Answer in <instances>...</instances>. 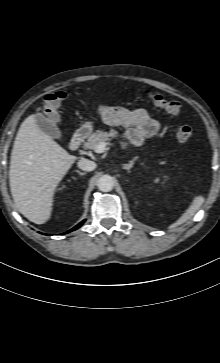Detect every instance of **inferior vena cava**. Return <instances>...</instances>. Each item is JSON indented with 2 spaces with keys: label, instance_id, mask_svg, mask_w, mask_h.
Segmentation results:
<instances>
[{
  "label": "inferior vena cava",
  "instance_id": "602c4592",
  "mask_svg": "<svg viewBox=\"0 0 220 363\" xmlns=\"http://www.w3.org/2000/svg\"><path fill=\"white\" fill-rule=\"evenodd\" d=\"M96 166L97 165L95 162L85 158H81L78 161V167L84 171H93L96 168Z\"/></svg>",
  "mask_w": 220,
  "mask_h": 363
}]
</instances>
